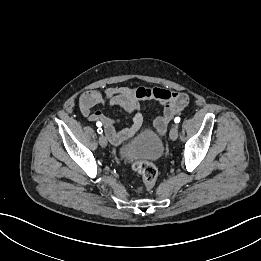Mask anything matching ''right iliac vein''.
Listing matches in <instances>:
<instances>
[{
	"mask_svg": "<svg viewBox=\"0 0 261 261\" xmlns=\"http://www.w3.org/2000/svg\"><path fill=\"white\" fill-rule=\"evenodd\" d=\"M99 144L101 147H106L107 146V139L104 135H101L99 137Z\"/></svg>",
	"mask_w": 261,
	"mask_h": 261,
	"instance_id": "obj_1",
	"label": "right iliac vein"
}]
</instances>
